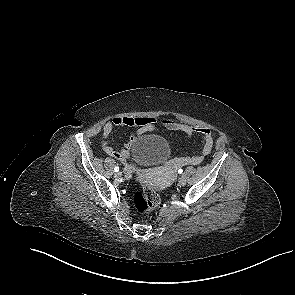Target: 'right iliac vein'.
Instances as JSON below:
<instances>
[{
    "label": "right iliac vein",
    "instance_id": "63e3f726",
    "mask_svg": "<svg viewBox=\"0 0 295 295\" xmlns=\"http://www.w3.org/2000/svg\"><path fill=\"white\" fill-rule=\"evenodd\" d=\"M121 176H122L121 172L118 171V172L115 173V178H120Z\"/></svg>",
    "mask_w": 295,
    "mask_h": 295
}]
</instances>
